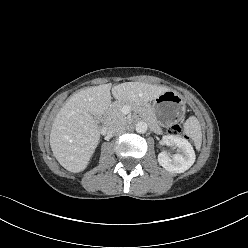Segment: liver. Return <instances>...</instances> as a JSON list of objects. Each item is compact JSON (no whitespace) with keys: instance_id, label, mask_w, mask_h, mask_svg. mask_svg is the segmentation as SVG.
Returning <instances> with one entry per match:
<instances>
[{"instance_id":"liver-1","label":"liver","mask_w":248,"mask_h":248,"mask_svg":"<svg viewBox=\"0 0 248 248\" xmlns=\"http://www.w3.org/2000/svg\"><path fill=\"white\" fill-rule=\"evenodd\" d=\"M113 97L130 104L154 100L168 91L166 87L143 82H125L113 86L102 84L74 93L57 113L50 132V146L54 157L66 170L83 171L93 155L100 131L93 115L101 116Z\"/></svg>"}]
</instances>
